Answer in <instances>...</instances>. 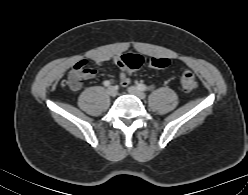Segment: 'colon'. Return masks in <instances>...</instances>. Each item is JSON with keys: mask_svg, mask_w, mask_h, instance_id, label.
Listing matches in <instances>:
<instances>
[{"mask_svg": "<svg viewBox=\"0 0 248 195\" xmlns=\"http://www.w3.org/2000/svg\"><path fill=\"white\" fill-rule=\"evenodd\" d=\"M120 64L128 70H134L141 67L146 58L139 54L127 53L120 56ZM148 63L151 67L156 69H165L170 65V60L162 57H153L148 59ZM85 62H78L69 72L67 78L63 81L62 86L77 90L80 88L85 71ZM181 87L182 89L190 93L197 87V79L195 74L190 70H185L181 75Z\"/></svg>", "mask_w": 248, "mask_h": 195, "instance_id": "5ec220e1", "label": "colon"}]
</instances>
